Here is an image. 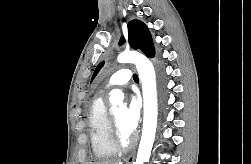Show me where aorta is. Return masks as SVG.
I'll return each mask as SVG.
<instances>
[{
	"label": "aorta",
	"mask_w": 251,
	"mask_h": 164,
	"mask_svg": "<svg viewBox=\"0 0 251 164\" xmlns=\"http://www.w3.org/2000/svg\"><path fill=\"white\" fill-rule=\"evenodd\" d=\"M117 61L119 63H134L142 83L144 100L143 130L134 164H144L149 161L157 127L158 105L155 70L151 61L146 56L135 51L120 53ZM123 99L124 94L122 91L112 90L110 92L109 100L113 105L121 103Z\"/></svg>",
	"instance_id": "762f6f07"
}]
</instances>
